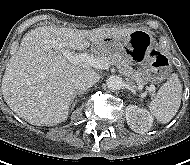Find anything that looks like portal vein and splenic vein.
Instances as JSON below:
<instances>
[{"label": "portal vein and splenic vein", "mask_w": 190, "mask_h": 165, "mask_svg": "<svg viewBox=\"0 0 190 165\" xmlns=\"http://www.w3.org/2000/svg\"><path fill=\"white\" fill-rule=\"evenodd\" d=\"M62 54L65 56V58L72 64H79V63H85L93 68L97 69H108L110 68L111 64L108 62L101 60L99 58H95L93 56H90L87 53H81V54H73L70 50L66 49L62 51ZM139 89L143 88L142 84L138 85ZM154 87H150V90L153 91Z\"/></svg>", "instance_id": "18ae733b"}]
</instances>
